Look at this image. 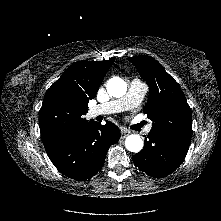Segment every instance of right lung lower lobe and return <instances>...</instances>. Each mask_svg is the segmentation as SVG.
Returning <instances> with one entry per match:
<instances>
[{
	"instance_id": "98d812e1",
	"label": "right lung lower lobe",
	"mask_w": 221,
	"mask_h": 221,
	"mask_svg": "<svg viewBox=\"0 0 221 221\" xmlns=\"http://www.w3.org/2000/svg\"><path fill=\"white\" fill-rule=\"evenodd\" d=\"M119 138L120 131L115 124L90 121L46 152L62 174L83 181L103 167L109 147Z\"/></svg>"
}]
</instances>
